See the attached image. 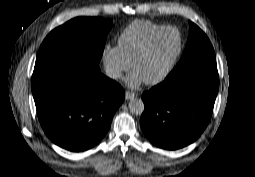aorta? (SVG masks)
Returning <instances> with one entry per match:
<instances>
[{"label": "aorta", "instance_id": "obj_1", "mask_svg": "<svg viewBox=\"0 0 255 177\" xmlns=\"http://www.w3.org/2000/svg\"><path fill=\"white\" fill-rule=\"evenodd\" d=\"M129 111L134 115H141L144 111V103L141 99L132 98L128 103Z\"/></svg>", "mask_w": 255, "mask_h": 177}]
</instances>
